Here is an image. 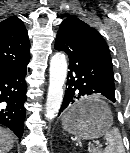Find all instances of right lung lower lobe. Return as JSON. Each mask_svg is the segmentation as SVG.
Returning a JSON list of instances; mask_svg holds the SVG:
<instances>
[{
    "label": "right lung lower lobe",
    "instance_id": "right-lung-lower-lobe-1",
    "mask_svg": "<svg viewBox=\"0 0 130 153\" xmlns=\"http://www.w3.org/2000/svg\"><path fill=\"white\" fill-rule=\"evenodd\" d=\"M27 64L0 71V124L11 129L21 139L24 128L27 84Z\"/></svg>",
    "mask_w": 130,
    "mask_h": 153
}]
</instances>
